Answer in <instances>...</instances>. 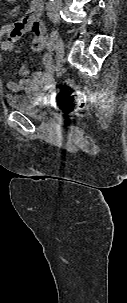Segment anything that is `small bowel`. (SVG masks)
<instances>
[{
	"label": "small bowel",
	"instance_id": "small-bowel-1",
	"mask_svg": "<svg viewBox=\"0 0 127 303\" xmlns=\"http://www.w3.org/2000/svg\"><path fill=\"white\" fill-rule=\"evenodd\" d=\"M14 3L17 0H7ZM43 11L42 0H31L26 13L13 23L0 26V50L12 51L14 42L27 32H32V49L42 51L47 45L45 27L41 21ZM7 39L4 40V37ZM0 51V63L2 53ZM43 71H38L30 75V71L25 64L19 67L20 80L9 79L6 82L7 88L14 92L33 91L38 85H50L54 74V60L50 51H45L42 55Z\"/></svg>",
	"mask_w": 127,
	"mask_h": 303
}]
</instances>
